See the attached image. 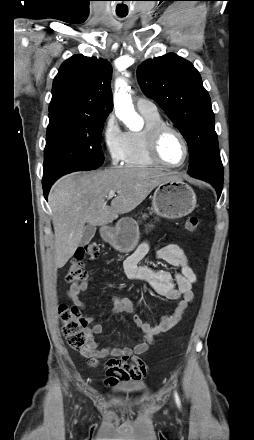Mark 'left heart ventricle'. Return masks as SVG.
Masks as SVG:
<instances>
[{
    "label": "left heart ventricle",
    "instance_id": "1",
    "mask_svg": "<svg viewBox=\"0 0 254 440\" xmlns=\"http://www.w3.org/2000/svg\"><path fill=\"white\" fill-rule=\"evenodd\" d=\"M162 159L172 165L180 164L184 159V147L180 138L173 132H166L160 141Z\"/></svg>",
    "mask_w": 254,
    "mask_h": 440
}]
</instances>
